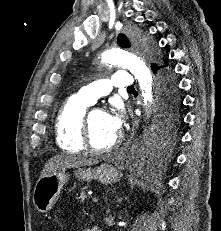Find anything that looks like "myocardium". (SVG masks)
<instances>
[{"mask_svg": "<svg viewBox=\"0 0 221 231\" xmlns=\"http://www.w3.org/2000/svg\"><path fill=\"white\" fill-rule=\"evenodd\" d=\"M96 110L103 112V110H101V109H93V110H89L88 112L85 113L83 120H82V124H81V139H82V143H83L85 150H87L93 154L103 155V154H107V153L114 151L115 149H117L120 146V144L122 142V135L118 134L117 138L108 147L97 148L92 143L91 127H90L91 115Z\"/></svg>", "mask_w": 221, "mask_h": 231, "instance_id": "f54148a6", "label": "myocardium"}]
</instances>
